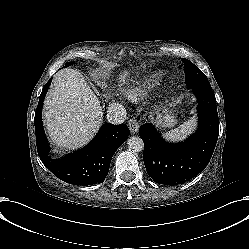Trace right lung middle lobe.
Listing matches in <instances>:
<instances>
[{
	"mask_svg": "<svg viewBox=\"0 0 249 249\" xmlns=\"http://www.w3.org/2000/svg\"><path fill=\"white\" fill-rule=\"evenodd\" d=\"M71 64H72V62H70V63H67V64H66V66H69V65H71Z\"/></svg>",
	"mask_w": 249,
	"mask_h": 249,
	"instance_id": "dd1d6c3e",
	"label": "right lung middle lobe"
}]
</instances>
